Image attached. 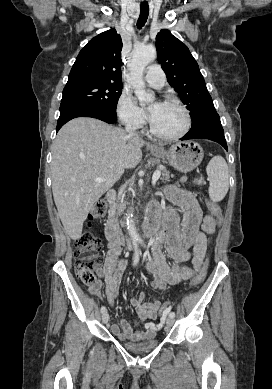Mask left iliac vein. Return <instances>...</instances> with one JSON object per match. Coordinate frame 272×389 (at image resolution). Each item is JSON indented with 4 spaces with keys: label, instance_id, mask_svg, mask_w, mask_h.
<instances>
[{
    "label": "left iliac vein",
    "instance_id": "left-iliac-vein-1",
    "mask_svg": "<svg viewBox=\"0 0 272 389\" xmlns=\"http://www.w3.org/2000/svg\"><path fill=\"white\" fill-rule=\"evenodd\" d=\"M173 324H174V318L168 317V318L166 319V325H167V327H171Z\"/></svg>",
    "mask_w": 272,
    "mask_h": 389
}]
</instances>
